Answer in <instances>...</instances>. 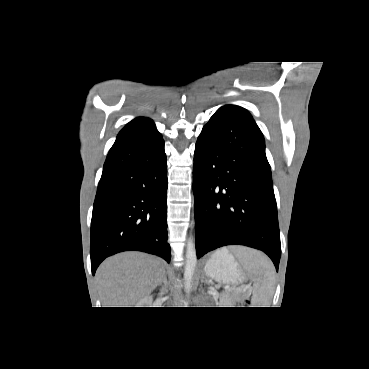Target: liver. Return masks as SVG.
<instances>
[{
  "label": "liver",
  "instance_id": "1",
  "mask_svg": "<svg viewBox=\"0 0 369 369\" xmlns=\"http://www.w3.org/2000/svg\"><path fill=\"white\" fill-rule=\"evenodd\" d=\"M165 274L160 258L141 252H124L107 258L96 280L103 307H128L150 294Z\"/></svg>",
  "mask_w": 369,
  "mask_h": 369
}]
</instances>
